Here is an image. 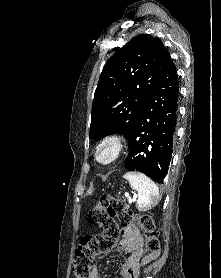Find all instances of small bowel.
Wrapping results in <instances>:
<instances>
[{
	"label": "small bowel",
	"mask_w": 221,
	"mask_h": 278,
	"mask_svg": "<svg viewBox=\"0 0 221 278\" xmlns=\"http://www.w3.org/2000/svg\"><path fill=\"white\" fill-rule=\"evenodd\" d=\"M116 251L129 257L121 263L120 277L115 278H138L140 265L151 259L144 255L143 236L135 224L122 228V239ZM90 278H102L96 266L91 270Z\"/></svg>",
	"instance_id": "obj_1"
}]
</instances>
